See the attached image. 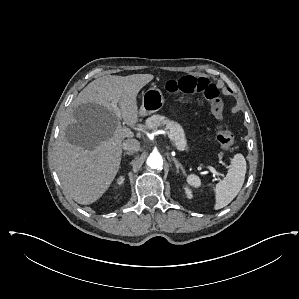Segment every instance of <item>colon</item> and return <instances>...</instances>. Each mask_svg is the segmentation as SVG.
Here are the masks:
<instances>
[{
  "instance_id": "colon-1",
  "label": "colon",
  "mask_w": 299,
  "mask_h": 299,
  "mask_svg": "<svg viewBox=\"0 0 299 299\" xmlns=\"http://www.w3.org/2000/svg\"><path fill=\"white\" fill-rule=\"evenodd\" d=\"M170 93L201 94L209 102L211 112L217 121V141L223 150H230L234 143L232 129L227 125L223 116L224 104L216 85L206 78L185 76L171 79L165 83Z\"/></svg>"
}]
</instances>
